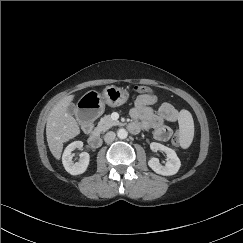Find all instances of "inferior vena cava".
Segmentation results:
<instances>
[{
  "label": "inferior vena cava",
  "mask_w": 243,
  "mask_h": 243,
  "mask_svg": "<svg viewBox=\"0 0 243 243\" xmlns=\"http://www.w3.org/2000/svg\"><path fill=\"white\" fill-rule=\"evenodd\" d=\"M116 137V134L113 131L107 132L104 136V141L106 143H111L112 141H114Z\"/></svg>",
  "instance_id": "1"
}]
</instances>
